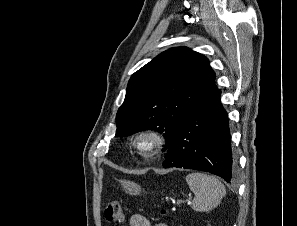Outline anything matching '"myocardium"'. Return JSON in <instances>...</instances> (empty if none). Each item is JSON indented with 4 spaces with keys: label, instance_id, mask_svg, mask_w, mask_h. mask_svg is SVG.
<instances>
[{
    "label": "myocardium",
    "instance_id": "myocardium-1",
    "mask_svg": "<svg viewBox=\"0 0 297 226\" xmlns=\"http://www.w3.org/2000/svg\"><path fill=\"white\" fill-rule=\"evenodd\" d=\"M131 144L138 156L150 160L162 150L165 137L157 129L144 128L133 136Z\"/></svg>",
    "mask_w": 297,
    "mask_h": 226
}]
</instances>
